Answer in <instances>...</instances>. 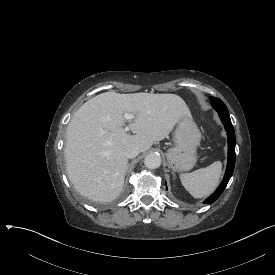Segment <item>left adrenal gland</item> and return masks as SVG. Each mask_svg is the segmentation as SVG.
<instances>
[{
    "label": "left adrenal gland",
    "mask_w": 275,
    "mask_h": 275,
    "mask_svg": "<svg viewBox=\"0 0 275 275\" xmlns=\"http://www.w3.org/2000/svg\"><path fill=\"white\" fill-rule=\"evenodd\" d=\"M172 174H173V177H174V179H175V177H176L175 173H174V172H172Z\"/></svg>",
    "instance_id": "obj_1"
}]
</instances>
